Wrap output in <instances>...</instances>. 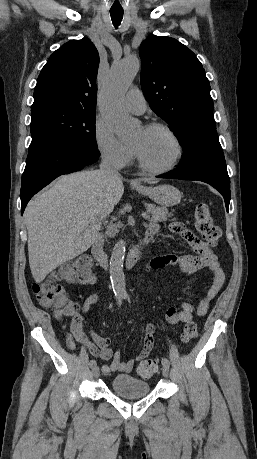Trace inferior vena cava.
Listing matches in <instances>:
<instances>
[{"label": "inferior vena cava", "mask_w": 257, "mask_h": 459, "mask_svg": "<svg viewBox=\"0 0 257 459\" xmlns=\"http://www.w3.org/2000/svg\"><path fill=\"white\" fill-rule=\"evenodd\" d=\"M99 167L100 169L98 170V172L101 175H106L112 178H119L120 176L119 172L110 166L107 158L102 159Z\"/></svg>", "instance_id": "obj_1"}]
</instances>
